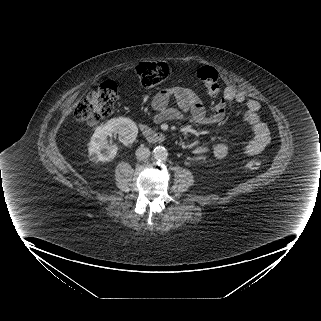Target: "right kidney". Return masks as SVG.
Segmentation results:
<instances>
[{"label":"right kidney","mask_w":321,"mask_h":321,"mask_svg":"<svg viewBox=\"0 0 321 321\" xmlns=\"http://www.w3.org/2000/svg\"><path fill=\"white\" fill-rule=\"evenodd\" d=\"M117 134L124 145L132 144L138 134V128L134 121L126 117L113 118L104 125L95 129L89 143V156L95 162H107L113 159L117 153V146L110 145L107 138Z\"/></svg>","instance_id":"1"}]
</instances>
